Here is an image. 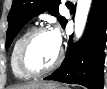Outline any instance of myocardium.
Returning <instances> with one entry per match:
<instances>
[{"label":"myocardium","instance_id":"f54148a6","mask_svg":"<svg viewBox=\"0 0 107 89\" xmlns=\"http://www.w3.org/2000/svg\"><path fill=\"white\" fill-rule=\"evenodd\" d=\"M47 32L51 33V30L48 27H45V26L36 27L31 30V32L27 35V37L25 38V40L23 41V43L21 45V48L19 51V56H18V63H19L21 70L31 77H36V76H40V75L46 74L48 72H51L52 70L57 68L60 65V63L62 62L63 51H62V49L59 48V53L57 55V58L50 66L37 69V68H32L28 64L27 55H28V51H29V48H30L33 40L39 34L47 33Z\"/></svg>","mask_w":107,"mask_h":89}]
</instances>
